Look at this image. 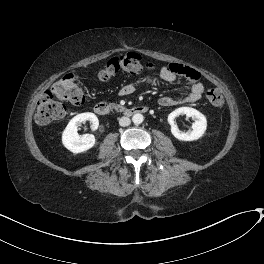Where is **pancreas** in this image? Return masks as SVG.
Listing matches in <instances>:
<instances>
[{"label": "pancreas", "instance_id": "pancreas-1", "mask_svg": "<svg viewBox=\"0 0 264 264\" xmlns=\"http://www.w3.org/2000/svg\"><path fill=\"white\" fill-rule=\"evenodd\" d=\"M111 108L115 109L116 111H123L125 108L119 104L112 103Z\"/></svg>", "mask_w": 264, "mask_h": 264}]
</instances>
